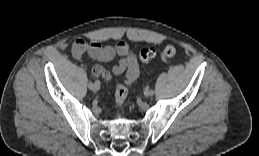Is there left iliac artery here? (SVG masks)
<instances>
[{
    "mask_svg": "<svg viewBox=\"0 0 259 156\" xmlns=\"http://www.w3.org/2000/svg\"><path fill=\"white\" fill-rule=\"evenodd\" d=\"M149 94H151V97H154L155 96V90L151 89V91H149Z\"/></svg>",
    "mask_w": 259,
    "mask_h": 156,
    "instance_id": "44dca946",
    "label": "left iliac artery"
}]
</instances>
